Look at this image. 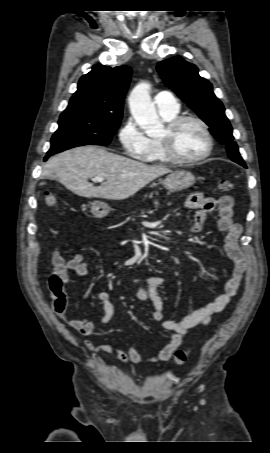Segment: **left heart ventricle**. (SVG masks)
<instances>
[{
  "mask_svg": "<svg viewBox=\"0 0 270 453\" xmlns=\"http://www.w3.org/2000/svg\"><path fill=\"white\" fill-rule=\"evenodd\" d=\"M166 135V129L161 137ZM172 147L178 156L182 158H194L206 149V138L202 128L195 122H185L174 133Z\"/></svg>",
  "mask_w": 270,
  "mask_h": 453,
  "instance_id": "obj_1",
  "label": "left heart ventricle"
}]
</instances>
